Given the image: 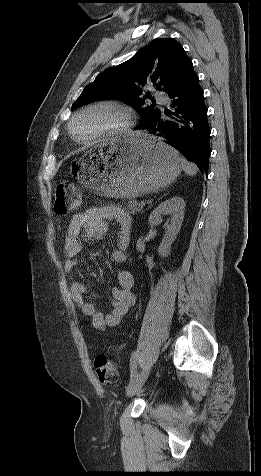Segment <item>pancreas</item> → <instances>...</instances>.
Masks as SVG:
<instances>
[{
  "label": "pancreas",
  "mask_w": 261,
  "mask_h": 476,
  "mask_svg": "<svg viewBox=\"0 0 261 476\" xmlns=\"http://www.w3.org/2000/svg\"><path fill=\"white\" fill-rule=\"evenodd\" d=\"M142 208H143V206H141L140 203H138L135 200L128 201V203H127V211L130 214H136V213L140 212L142 210Z\"/></svg>",
  "instance_id": "pancreas-1"
}]
</instances>
